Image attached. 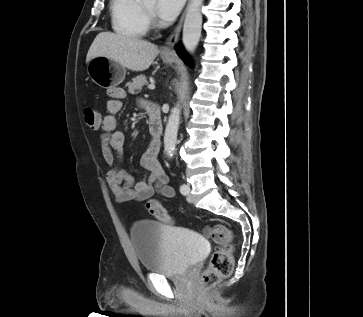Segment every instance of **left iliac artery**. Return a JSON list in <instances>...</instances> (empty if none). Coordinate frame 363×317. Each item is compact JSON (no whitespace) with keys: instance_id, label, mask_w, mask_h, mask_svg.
Returning a JSON list of instances; mask_svg holds the SVG:
<instances>
[{"instance_id":"left-iliac-artery-1","label":"left iliac artery","mask_w":363,"mask_h":317,"mask_svg":"<svg viewBox=\"0 0 363 317\" xmlns=\"http://www.w3.org/2000/svg\"><path fill=\"white\" fill-rule=\"evenodd\" d=\"M180 192H181L182 194H184V195H186V194H187V186H186V184H182V185L180 186Z\"/></svg>"}]
</instances>
